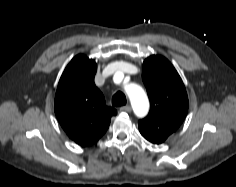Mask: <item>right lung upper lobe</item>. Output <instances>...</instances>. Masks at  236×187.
Masks as SVG:
<instances>
[{"label": "right lung upper lobe", "mask_w": 236, "mask_h": 187, "mask_svg": "<svg viewBox=\"0 0 236 187\" xmlns=\"http://www.w3.org/2000/svg\"><path fill=\"white\" fill-rule=\"evenodd\" d=\"M97 64L85 55L75 56L64 70L55 95L56 117L70 139L90 146L105 134L117 111L106 106L94 84Z\"/></svg>", "instance_id": "right-lung-upper-lobe-1"}]
</instances>
